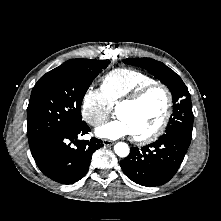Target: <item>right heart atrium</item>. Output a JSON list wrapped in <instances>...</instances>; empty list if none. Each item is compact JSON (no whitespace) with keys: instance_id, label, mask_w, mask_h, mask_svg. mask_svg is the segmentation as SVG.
<instances>
[{"instance_id":"right-heart-atrium-1","label":"right heart atrium","mask_w":221,"mask_h":221,"mask_svg":"<svg viewBox=\"0 0 221 221\" xmlns=\"http://www.w3.org/2000/svg\"><path fill=\"white\" fill-rule=\"evenodd\" d=\"M112 109L101 89L90 87L84 93L81 115L90 126H99L111 114Z\"/></svg>"}]
</instances>
